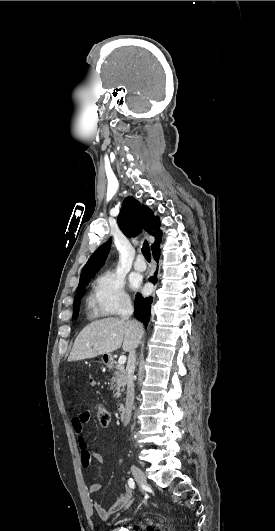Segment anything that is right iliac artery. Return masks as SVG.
<instances>
[{
    "label": "right iliac artery",
    "instance_id": "obj_1",
    "mask_svg": "<svg viewBox=\"0 0 275 531\" xmlns=\"http://www.w3.org/2000/svg\"><path fill=\"white\" fill-rule=\"evenodd\" d=\"M128 484H129L130 488H132V489L135 488V482H134V480L132 478L129 479Z\"/></svg>",
    "mask_w": 275,
    "mask_h": 531
}]
</instances>
